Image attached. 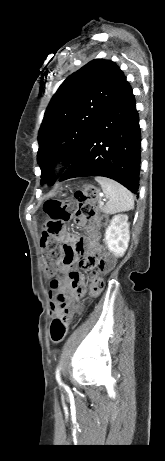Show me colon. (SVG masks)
<instances>
[{
    "label": "colon",
    "instance_id": "colon-1",
    "mask_svg": "<svg viewBox=\"0 0 165 461\" xmlns=\"http://www.w3.org/2000/svg\"><path fill=\"white\" fill-rule=\"evenodd\" d=\"M97 196V191L92 186H86L77 189L74 192L73 200L51 199L44 205V211L49 216L45 221L42 230L41 244L44 248V263L46 274L52 276L56 265L60 263L61 251L69 250L68 245H61L59 238L63 233L64 223L69 219L71 214L76 215L83 220L96 219L101 227L108 224L106 216L96 218L95 209L91 204ZM89 267H97L103 271H109L114 259L110 254H100L91 256L87 259ZM104 282L98 275H93L90 281L89 294L92 297L97 296L103 289ZM79 311V309H78ZM68 332V326L63 317L55 318L50 326V337L54 343H60L64 340Z\"/></svg>",
    "mask_w": 165,
    "mask_h": 461
}]
</instances>
